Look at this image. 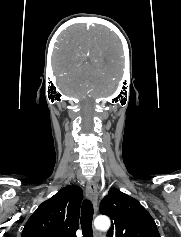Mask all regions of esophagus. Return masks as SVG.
Instances as JSON below:
<instances>
[{
    "label": "esophagus",
    "instance_id": "esophagus-1",
    "mask_svg": "<svg viewBox=\"0 0 181 237\" xmlns=\"http://www.w3.org/2000/svg\"><path fill=\"white\" fill-rule=\"evenodd\" d=\"M86 195L89 200L92 202L94 208L97 204V186L93 181H90L86 186Z\"/></svg>",
    "mask_w": 181,
    "mask_h": 237
}]
</instances>
